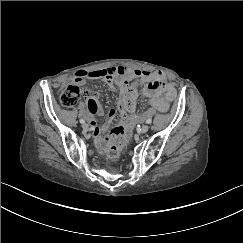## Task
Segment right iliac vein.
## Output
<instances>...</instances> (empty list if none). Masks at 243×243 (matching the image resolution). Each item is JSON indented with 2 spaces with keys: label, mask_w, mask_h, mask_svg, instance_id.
Returning <instances> with one entry per match:
<instances>
[{
  "label": "right iliac vein",
  "mask_w": 243,
  "mask_h": 243,
  "mask_svg": "<svg viewBox=\"0 0 243 243\" xmlns=\"http://www.w3.org/2000/svg\"><path fill=\"white\" fill-rule=\"evenodd\" d=\"M82 128H83L84 130H88L89 125H88L87 123H83Z\"/></svg>",
  "instance_id": "obj_1"
}]
</instances>
